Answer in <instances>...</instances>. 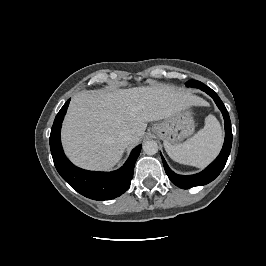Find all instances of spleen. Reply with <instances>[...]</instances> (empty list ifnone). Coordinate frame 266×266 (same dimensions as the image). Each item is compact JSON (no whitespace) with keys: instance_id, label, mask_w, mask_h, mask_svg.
<instances>
[{"instance_id":"spleen-1","label":"spleen","mask_w":266,"mask_h":266,"mask_svg":"<svg viewBox=\"0 0 266 266\" xmlns=\"http://www.w3.org/2000/svg\"><path fill=\"white\" fill-rule=\"evenodd\" d=\"M223 142L220 123L213 115L205 118V126L182 144L164 143L167 154L176 162L198 168L205 167L219 153Z\"/></svg>"}]
</instances>
